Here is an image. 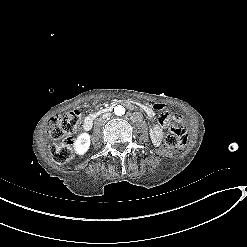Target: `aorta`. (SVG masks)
Returning a JSON list of instances; mask_svg holds the SVG:
<instances>
[{
    "instance_id": "1",
    "label": "aorta",
    "mask_w": 247,
    "mask_h": 247,
    "mask_svg": "<svg viewBox=\"0 0 247 247\" xmlns=\"http://www.w3.org/2000/svg\"><path fill=\"white\" fill-rule=\"evenodd\" d=\"M114 113L117 116H122L125 114V108L121 105H118L114 108Z\"/></svg>"
}]
</instances>
